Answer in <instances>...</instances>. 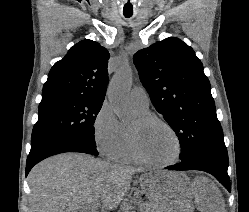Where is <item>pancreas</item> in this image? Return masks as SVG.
I'll return each instance as SVG.
<instances>
[{
    "label": "pancreas",
    "mask_w": 249,
    "mask_h": 212,
    "mask_svg": "<svg viewBox=\"0 0 249 212\" xmlns=\"http://www.w3.org/2000/svg\"><path fill=\"white\" fill-rule=\"evenodd\" d=\"M140 212H154L150 204H140Z\"/></svg>",
    "instance_id": "1"
}]
</instances>
